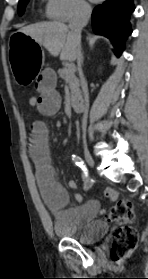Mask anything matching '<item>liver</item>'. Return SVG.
I'll return each instance as SVG.
<instances>
[{
  "label": "liver",
  "mask_w": 148,
  "mask_h": 279,
  "mask_svg": "<svg viewBox=\"0 0 148 279\" xmlns=\"http://www.w3.org/2000/svg\"><path fill=\"white\" fill-rule=\"evenodd\" d=\"M19 32L29 35L44 46L52 56L60 55L62 61L76 60L78 40L64 23L57 21L36 23L23 27Z\"/></svg>",
  "instance_id": "1"
}]
</instances>
